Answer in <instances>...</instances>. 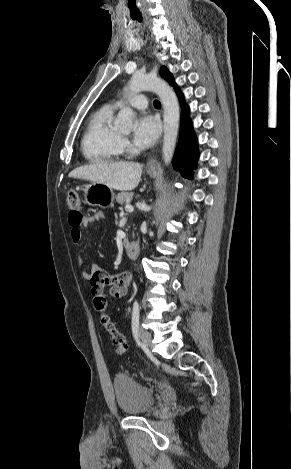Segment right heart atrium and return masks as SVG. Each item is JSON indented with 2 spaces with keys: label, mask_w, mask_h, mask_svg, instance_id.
Wrapping results in <instances>:
<instances>
[{
  "label": "right heart atrium",
  "mask_w": 291,
  "mask_h": 469,
  "mask_svg": "<svg viewBox=\"0 0 291 469\" xmlns=\"http://www.w3.org/2000/svg\"><path fill=\"white\" fill-rule=\"evenodd\" d=\"M122 146H123V148L129 147V142H128L127 139L122 138Z\"/></svg>",
  "instance_id": "obj_1"
}]
</instances>
